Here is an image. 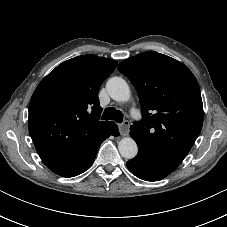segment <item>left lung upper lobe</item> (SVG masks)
I'll return each mask as SVG.
<instances>
[{
	"label": "left lung upper lobe",
	"mask_w": 227,
	"mask_h": 227,
	"mask_svg": "<svg viewBox=\"0 0 227 227\" xmlns=\"http://www.w3.org/2000/svg\"><path fill=\"white\" fill-rule=\"evenodd\" d=\"M118 70L130 79L140 98L143 119L130 127L138 149L179 164L203 124L196 78L183 63L155 51L125 59Z\"/></svg>",
	"instance_id": "obj_1"
}]
</instances>
